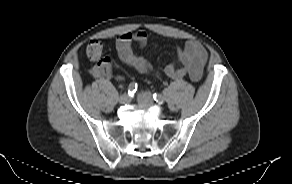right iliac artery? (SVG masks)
<instances>
[{"label": "right iliac artery", "instance_id": "obj_1", "mask_svg": "<svg viewBox=\"0 0 292 184\" xmlns=\"http://www.w3.org/2000/svg\"><path fill=\"white\" fill-rule=\"evenodd\" d=\"M136 90H137V83H134V82L130 83L128 87V95L132 97L135 94Z\"/></svg>", "mask_w": 292, "mask_h": 184}]
</instances>
